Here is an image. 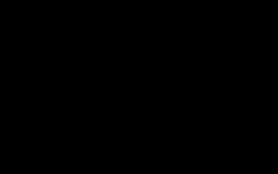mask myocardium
I'll use <instances>...</instances> for the list:
<instances>
[{"instance_id":"f54148a6","label":"myocardium","mask_w":278,"mask_h":174,"mask_svg":"<svg viewBox=\"0 0 278 174\" xmlns=\"http://www.w3.org/2000/svg\"><path fill=\"white\" fill-rule=\"evenodd\" d=\"M163 46H161L159 49L156 50V52L153 54V56L151 57L150 61L148 62V65L146 67V72L148 71V69L150 68V66L152 65V63L154 62L158 52L161 50ZM180 47V51H181V63H180V66H179V69H178V72L176 73V75L167 83L161 85V88H169V87H172L174 84L177 83V81L180 79L182 73H183V70H184V66H185V53H184V49Z\"/></svg>"}]
</instances>
